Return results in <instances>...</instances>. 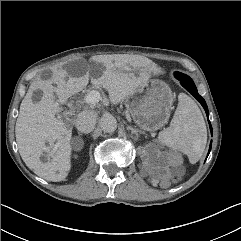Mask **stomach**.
I'll return each mask as SVG.
<instances>
[{
    "mask_svg": "<svg viewBox=\"0 0 241 241\" xmlns=\"http://www.w3.org/2000/svg\"><path fill=\"white\" fill-rule=\"evenodd\" d=\"M173 102V93L164 81L149 79L126 98L125 105L141 129L156 131L167 123Z\"/></svg>",
    "mask_w": 241,
    "mask_h": 241,
    "instance_id": "obj_1",
    "label": "stomach"
}]
</instances>
